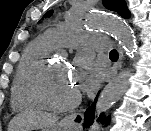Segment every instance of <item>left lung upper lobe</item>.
Wrapping results in <instances>:
<instances>
[{"instance_id": "5c2ea615", "label": "left lung upper lobe", "mask_w": 151, "mask_h": 131, "mask_svg": "<svg viewBox=\"0 0 151 131\" xmlns=\"http://www.w3.org/2000/svg\"><path fill=\"white\" fill-rule=\"evenodd\" d=\"M103 4L107 9L118 12L124 18L130 17L125 0H103ZM46 15L51 16L52 11H49Z\"/></svg>"}]
</instances>
